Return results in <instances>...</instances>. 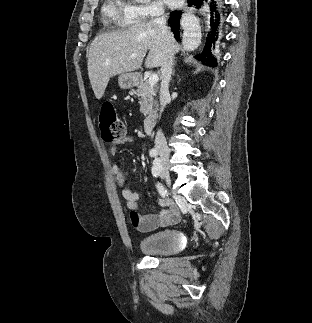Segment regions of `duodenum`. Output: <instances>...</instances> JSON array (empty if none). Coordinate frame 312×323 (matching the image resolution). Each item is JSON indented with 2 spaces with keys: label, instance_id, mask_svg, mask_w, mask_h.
<instances>
[{
  "label": "duodenum",
  "instance_id": "duodenum-1",
  "mask_svg": "<svg viewBox=\"0 0 312 323\" xmlns=\"http://www.w3.org/2000/svg\"><path fill=\"white\" fill-rule=\"evenodd\" d=\"M131 81L134 85H139L141 82V76L140 75H133L131 78ZM157 120V115L155 113L149 114L144 119V131L147 135H150L155 127Z\"/></svg>",
  "mask_w": 312,
  "mask_h": 323
}]
</instances>
